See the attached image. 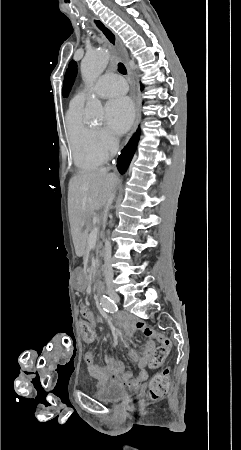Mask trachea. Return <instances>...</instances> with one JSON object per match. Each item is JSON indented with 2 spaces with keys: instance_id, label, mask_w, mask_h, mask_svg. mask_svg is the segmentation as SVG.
I'll list each match as a JSON object with an SVG mask.
<instances>
[{
  "instance_id": "obj_1",
  "label": "trachea",
  "mask_w": 241,
  "mask_h": 450,
  "mask_svg": "<svg viewBox=\"0 0 241 450\" xmlns=\"http://www.w3.org/2000/svg\"><path fill=\"white\" fill-rule=\"evenodd\" d=\"M118 71H119L120 73H122L123 75H126V74H127V70H126V68H125V65H123V63H120V62H119V64H118Z\"/></svg>"
}]
</instances>
